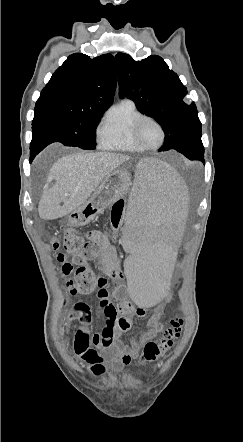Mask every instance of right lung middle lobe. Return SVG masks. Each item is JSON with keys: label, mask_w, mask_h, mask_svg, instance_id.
<instances>
[{"label": "right lung middle lobe", "mask_w": 243, "mask_h": 442, "mask_svg": "<svg viewBox=\"0 0 243 442\" xmlns=\"http://www.w3.org/2000/svg\"><path fill=\"white\" fill-rule=\"evenodd\" d=\"M104 111L80 110L55 99H38L32 121V140L61 142L93 150L95 129Z\"/></svg>", "instance_id": "1"}]
</instances>
